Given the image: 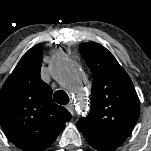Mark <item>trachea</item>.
Listing matches in <instances>:
<instances>
[{
    "mask_svg": "<svg viewBox=\"0 0 151 151\" xmlns=\"http://www.w3.org/2000/svg\"><path fill=\"white\" fill-rule=\"evenodd\" d=\"M53 99L60 105H66L69 103V97L63 90H58L54 93Z\"/></svg>",
    "mask_w": 151,
    "mask_h": 151,
    "instance_id": "1",
    "label": "trachea"
}]
</instances>
